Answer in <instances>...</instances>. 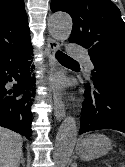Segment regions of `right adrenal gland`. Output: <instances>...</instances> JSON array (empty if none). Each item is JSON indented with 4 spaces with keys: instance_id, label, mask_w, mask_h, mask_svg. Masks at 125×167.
I'll return each mask as SVG.
<instances>
[{
    "instance_id": "1",
    "label": "right adrenal gland",
    "mask_w": 125,
    "mask_h": 167,
    "mask_svg": "<svg viewBox=\"0 0 125 167\" xmlns=\"http://www.w3.org/2000/svg\"><path fill=\"white\" fill-rule=\"evenodd\" d=\"M20 164H22L23 166H25V160H24L23 154H21V157H20V160H19V162L17 164V167H19Z\"/></svg>"
}]
</instances>
